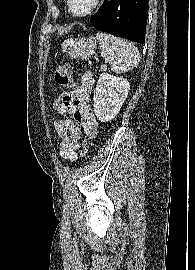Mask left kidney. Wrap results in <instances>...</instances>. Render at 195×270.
I'll list each match as a JSON object with an SVG mask.
<instances>
[{
    "instance_id": "1",
    "label": "left kidney",
    "mask_w": 195,
    "mask_h": 270,
    "mask_svg": "<svg viewBox=\"0 0 195 270\" xmlns=\"http://www.w3.org/2000/svg\"><path fill=\"white\" fill-rule=\"evenodd\" d=\"M130 83L123 77L102 73L94 90V112L100 122L112 120L128 96Z\"/></svg>"
}]
</instances>
